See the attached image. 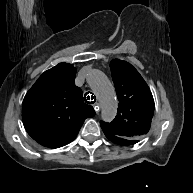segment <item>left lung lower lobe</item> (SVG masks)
I'll list each match as a JSON object with an SVG mask.
<instances>
[{"label":"left lung lower lobe","mask_w":193,"mask_h":193,"mask_svg":"<svg viewBox=\"0 0 193 193\" xmlns=\"http://www.w3.org/2000/svg\"><path fill=\"white\" fill-rule=\"evenodd\" d=\"M105 135L107 136V138H108L109 140H111V141L114 142V143H117V144H120V145H129V144H127V142H125L124 140L118 141V140L114 139V138H115L114 135H110V134H105Z\"/></svg>","instance_id":"1"}]
</instances>
